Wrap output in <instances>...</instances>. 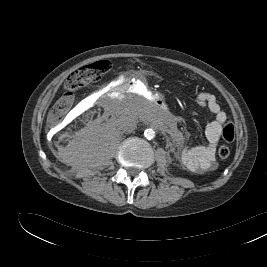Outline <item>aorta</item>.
Instances as JSON below:
<instances>
[{
    "label": "aorta",
    "mask_w": 267,
    "mask_h": 267,
    "mask_svg": "<svg viewBox=\"0 0 267 267\" xmlns=\"http://www.w3.org/2000/svg\"><path fill=\"white\" fill-rule=\"evenodd\" d=\"M144 136L148 139L151 140L155 137V131L151 128L146 129L144 132Z\"/></svg>",
    "instance_id": "1"
}]
</instances>
